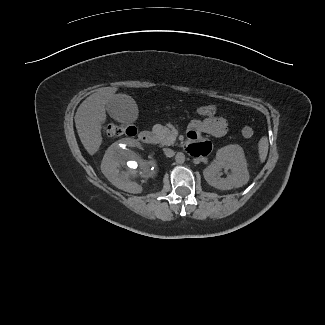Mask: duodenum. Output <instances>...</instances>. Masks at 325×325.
Masks as SVG:
<instances>
[{
    "label": "duodenum",
    "instance_id": "duodenum-1",
    "mask_svg": "<svg viewBox=\"0 0 325 325\" xmlns=\"http://www.w3.org/2000/svg\"><path fill=\"white\" fill-rule=\"evenodd\" d=\"M138 139L143 144H151L153 142L154 137L150 131L144 130L140 132Z\"/></svg>",
    "mask_w": 325,
    "mask_h": 325
}]
</instances>
